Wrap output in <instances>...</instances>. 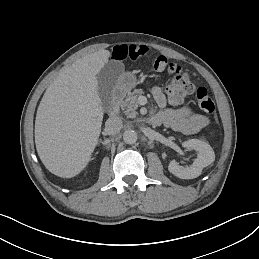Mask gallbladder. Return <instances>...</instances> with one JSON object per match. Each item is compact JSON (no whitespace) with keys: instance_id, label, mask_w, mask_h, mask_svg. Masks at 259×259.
Here are the masks:
<instances>
[{"instance_id":"gallbladder-1","label":"gallbladder","mask_w":259,"mask_h":259,"mask_svg":"<svg viewBox=\"0 0 259 259\" xmlns=\"http://www.w3.org/2000/svg\"><path fill=\"white\" fill-rule=\"evenodd\" d=\"M123 69L122 62L111 60L97 74L99 82L98 95L103 112H109L112 108L113 91Z\"/></svg>"}]
</instances>
